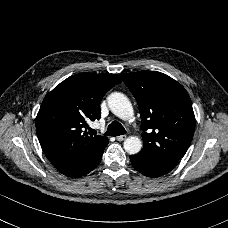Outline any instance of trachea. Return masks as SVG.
Segmentation results:
<instances>
[{
  "mask_svg": "<svg viewBox=\"0 0 228 228\" xmlns=\"http://www.w3.org/2000/svg\"><path fill=\"white\" fill-rule=\"evenodd\" d=\"M93 135L97 134V131L92 130L91 131ZM126 134V130L122 126L121 123L117 121H113L109 126L107 131L104 133L106 136H120Z\"/></svg>",
  "mask_w": 228,
  "mask_h": 228,
  "instance_id": "3493384b",
  "label": "trachea"
}]
</instances>
